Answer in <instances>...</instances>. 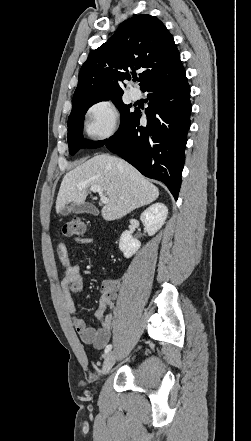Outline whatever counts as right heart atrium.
<instances>
[{"label":"right heart atrium","mask_w":251,"mask_h":441,"mask_svg":"<svg viewBox=\"0 0 251 441\" xmlns=\"http://www.w3.org/2000/svg\"><path fill=\"white\" fill-rule=\"evenodd\" d=\"M119 114L111 100H101L89 107L85 116V130L93 140H104L118 128Z\"/></svg>","instance_id":"obj_1"}]
</instances>
